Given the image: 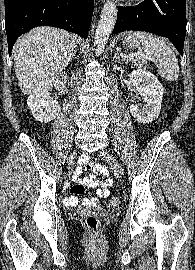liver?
<instances>
[{
	"label": "liver",
	"instance_id": "liver-1",
	"mask_svg": "<svg viewBox=\"0 0 195 270\" xmlns=\"http://www.w3.org/2000/svg\"><path fill=\"white\" fill-rule=\"evenodd\" d=\"M75 45L71 34L54 27H37L19 37L13 53L22 93L31 94L39 84L58 76L70 62Z\"/></svg>",
	"mask_w": 195,
	"mask_h": 270
}]
</instances>
